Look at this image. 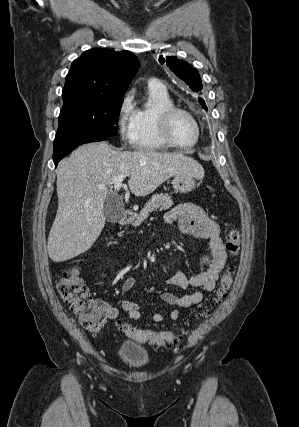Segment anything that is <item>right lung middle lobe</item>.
Segmentation results:
<instances>
[{"label": "right lung middle lobe", "mask_w": 299, "mask_h": 427, "mask_svg": "<svg viewBox=\"0 0 299 427\" xmlns=\"http://www.w3.org/2000/svg\"><path fill=\"white\" fill-rule=\"evenodd\" d=\"M54 147L81 138L117 134L122 96L84 94L63 100Z\"/></svg>", "instance_id": "1"}]
</instances>
